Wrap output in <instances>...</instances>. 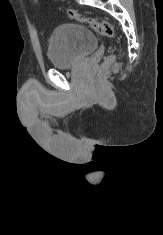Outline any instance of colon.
Returning <instances> with one entry per match:
<instances>
[{
	"label": "colon",
	"instance_id": "obj_1",
	"mask_svg": "<svg viewBox=\"0 0 163 235\" xmlns=\"http://www.w3.org/2000/svg\"><path fill=\"white\" fill-rule=\"evenodd\" d=\"M67 15L69 18L79 22L86 24L95 30L99 31L102 35L108 38H112L114 36V28L110 22L105 20H100L95 17H90L81 13H78L73 10H68ZM113 60L112 57L107 58L106 62L102 66V71L107 68V65Z\"/></svg>",
	"mask_w": 163,
	"mask_h": 235
}]
</instances>
